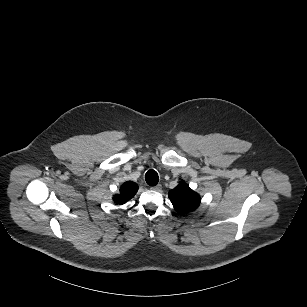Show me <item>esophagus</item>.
Here are the masks:
<instances>
[{
  "mask_svg": "<svg viewBox=\"0 0 307 307\" xmlns=\"http://www.w3.org/2000/svg\"><path fill=\"white\" fill-rule=\"evenodd\" d=\"M154 191H160L162 189V185L161 184H157L154 187L151 188Z\"/></svg>",
  "mask_w": 307,
  "mask_h": 307,
  "instance_id": "esophagus-1",
  "label": "esophagus"
}]
</instances>
